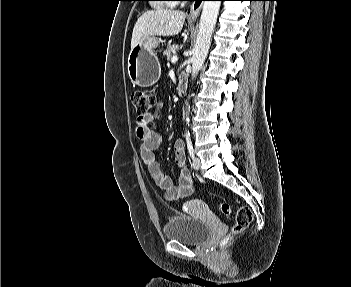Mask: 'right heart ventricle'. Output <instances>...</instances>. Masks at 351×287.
<instances>
[{"instance_id": "right-heart-ventricle-1", "label": "right heart ventricle", "mask_w": 351, "mask_h": 287, "mask_svg": "<svg viewBox=\"0 0 351 287\" xmlns=\"http://www.w3.org/2000/svg\"><path fill=\"white\" fill-rule=\"evenodd\" d=\"M157 2H160V1H157ZM154 7H155L156 9H164V8H167L168 5L161 2V3H156V4H154Z\"/></svg>"}]
</instances>
